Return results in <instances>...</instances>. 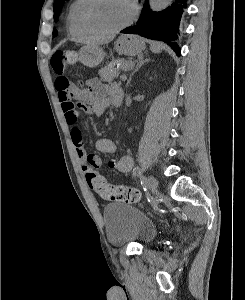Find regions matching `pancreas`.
<instances>
[{"instance_id":"pancreas-1","label":"pancreas","mask_w":245,"mask_h":300,"mask_svg":"<svg viewBox=\"0 0 245 300\" xmlns=\"http://www.w3.org/2000/svg\"><path fill=\"white\" fill-rule=\"evenodd\" d=\"M119 62L120 63V67L119 68H115V64ZM131 61H112L109 64L105 65L103 68H101L99 70V76L101 77V79L103 81L106 82H112L115 78L118 77L120 70L124 69L126 67V65H128Z\"/></svg>"}]
</instances>
